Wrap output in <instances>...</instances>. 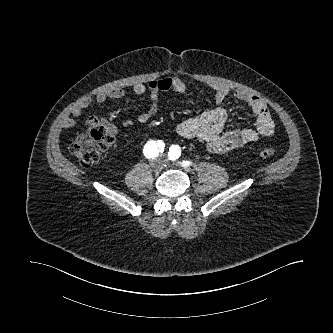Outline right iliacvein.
Instances as JSON below:
<instances>
[{"instance_id":"1","label":"right iliac vein","mask_w":333,"mask_h":333,"mask_svg":"<svg viewBox=\"0 0 333 333\" xmlns=\"http://www.w3.org/2000/svg\"><path fill=\"white\" fill-rule=\"evenodd\" d=\"M162 167L163 163L161 162V160H154L151 162V168L156 173L160 172Z\"/></svg>"}]
</instances>
